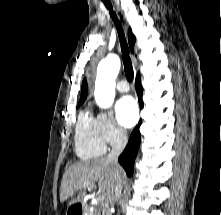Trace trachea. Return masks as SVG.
<instances>
[{
  "label": "trachea",
  "instance_id": "obj_1",
  "mask_svg": "<svg viewBox=\"0 0 221 215\" xmlns=\"http://www.w3.org/2000/svg\"><path fill=\"white\" fill-rule=\"evenodd\" d=\"M106 8L110 11V16L113 19L117 31H118V35L120 38V43H121V50H122V56H123V62H124V71H125V75L128 81H132L133 77H134V73H133V67H132V63H131V59L129 56V48L127 45V41L121 26L120 21L117 18L116 13L112 10L113 7L111 5V3L109 2V0H103Z\"/></svg>",
  "mask_w": 221,
  "mask_h": 215
}]
</instances>
